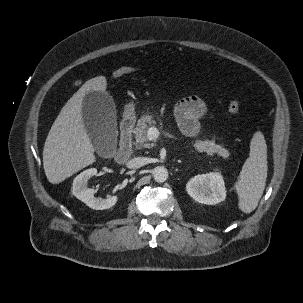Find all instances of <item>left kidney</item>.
Returning a JSON list of instances; mask_svg holds the SVG:
<instances>
[{
  "label": "left kidney",
  "instance_id": "1",
  "mask_svg": "<svg viewBox=\"0 0 303 303\" xmlns=\"http://www.w3.org/2000/svg\"><path fill=\"white\" fill-rule=\"evenodd\" d=\"M187 193L197 202L215 205L226 198V188L219 172L197 175L186 184Z\"/></svg>",
  "mask_w": 303,
  "mask_h": 303
}]
</instances>
